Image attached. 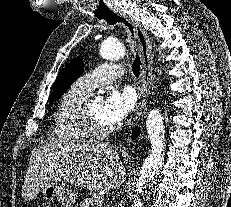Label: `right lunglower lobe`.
<instances>
[{"label":"right lung lower lobe","mask_w":231,"mask_h":207,"mask_svg":"<svg viewBox=\"0 0 231 207\" xmlns=\"http://www.w3.org/2000/svg\"><path fill=\"white\" fill-rule=\"evenodd\" d=\"M139 132H140L139 129H136V130L133 129V133H132L133 137L138 136Z\"/></svg>","instance_id":"right-lung-lower-lobe-1"}]
</instances>
